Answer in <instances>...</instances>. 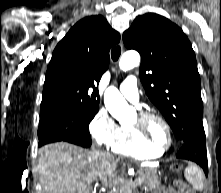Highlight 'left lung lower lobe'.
I'll list each match as a JSON object with an SVG mask.
<instances>
[{
  "label": "left lung lower lobe",
  "instance_id": "obj_1",
  "mask_svg": "<svg viewBox=\"0 0 221 193\" xmlns=\"http://www.w3.org/2000/svg\"><path fill=\"white\" fill-rule=\"evenodd\" d=\"M177 158L187 159L200 165L205 174H208L207 152L205 146V135L197 136L182 144Z\"/></svg>",
  "mask_w": 221,
  "mask_h": 193
}]
</instances>
